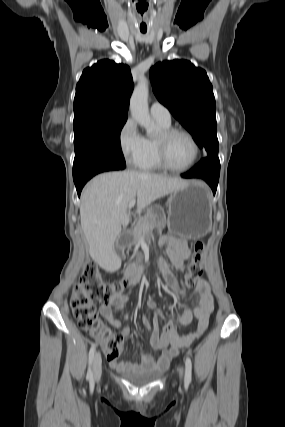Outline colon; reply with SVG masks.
<instances>
[{
	"instance_id": "1",
	"label": "colon",
	"mask_w": 285,
	"mask_h": 427,
	"mask_svg": "<svg viewBox=\"0 0 285 427\" xmlns=\"http://www.w3.org/2000/svg\"><path fill=\"white\" fill-rule=\"evenodd\" d=\"M204 243L193 245V255L184 282L194 287L203 275ZM128 286L126 280L107 282L94 264L85 266L71 295V308L80 328L96 338L105 348L108 359H116L122 347V337L107 327L98 316L95 302L107 304L113 294L122 293Z\"/></svg>"
}]
</instances>
